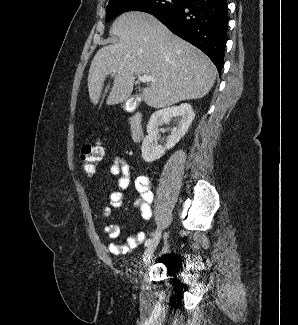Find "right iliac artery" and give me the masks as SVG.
Listing matches in <instances>:
<instances>
[{
	"label": "right iliac artery",
	"instance_id": "right-iliac-artery-1",
	"mask_svg": "<svg viewBox=\"0 0 298 325\" xmlns=\"http://www.w3.org/2000/svg\"><path fill=\"white\" fill-rule=\"evenodd\" d=\"M151 240H152V239H147V240L145 241V246H148V245L150 244Z\"/></svg>",
	"mask_w": 298,
	"mask_h": 325
}]
</instances>
